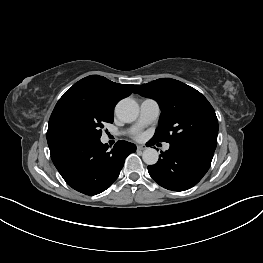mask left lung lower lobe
Here are the masks:
<instances>
[{
  "label": "left lung lower lobe",
  "mask_w": 263,
  "mask_h": 263,
  "mask_svg": "<svg viewBox=\"0 0 263 263\" xmlns=\"http://www.w3.org/2000/svg\"><path fill=\"white\" fill-rule=\"evenodd\" d=\"M214 151L200 145L170 143L169 150L161 151L158 162L148 166V172L160 186L168 190H188L206 174Z\"/></svg>",
  "instance_id": "left-lung-lower-lobe-1"
}]
</instances>
